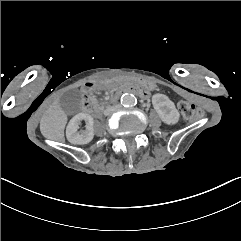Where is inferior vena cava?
I'll return each instance as SVG.
<instances>
[{"instance_id":"602c4592","label":"inferior vena cava","mask_w":241,"mask_h":241,"mask_svg":"<svg viewBox=\"0 0 241 241\" xmlns=\"http://www.w3.org/2000/svg\"><path fill=\"white\" fill-rule=\"evenodd\" d=\"M113 108H114V107H109V108H107V109L104 111V115H105V116H108V115L113 111Z\"/></svg>"}]
</instances>
